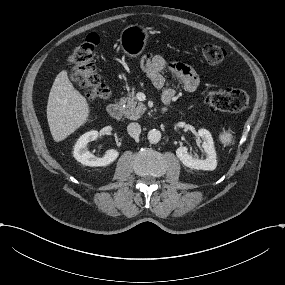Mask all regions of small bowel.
<instances>
[{"instance_id": "small-bowel-1", "label": "small bowel", "mask_w": 285, "mask_h": 285, "mask_svg": "<svg viewBox=\"0 0 285 285\" xmlns=\"http://www.w3.org/2000/svg\"><path fill=\"white\" fill-rule=\"evenodd\" d=\"M142 69L156 88L163 89V100L170 102L175 97V89L166 85L164 71H169L187 92L195 91L201 84L200 76L192 67L182 62L167 61L161 55H146L142 59Z\"/></svg>"}]
</instances>
